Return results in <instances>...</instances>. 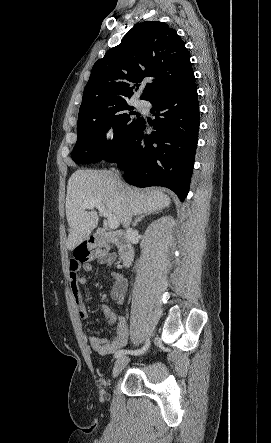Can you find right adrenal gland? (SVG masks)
<instances>
[{
	"label": "right adrenal gland",
	"instance_id": "1",
	"mask_svg": "<svg viewBox=\"0 0 271 443\" xmlns=\"http://www.w3.org/2000/svg\"><path fill=\"white\" fill-rule=\"evenodd\" d=\"M155 212H157V210H155ZM150 214H153V212H148V214H138L137 218H135L134 222H132L133 227H135L138 222H142L145 216H150Z\"/></svg>",
	"mask_w": 271,
	"mask_h": 443
}]
</instances>
